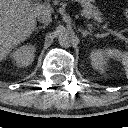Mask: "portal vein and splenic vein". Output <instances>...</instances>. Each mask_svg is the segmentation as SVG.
Returning <instances> with one entry per match:
<instances>
[{
    "instance_id": "18ae733b",
    "label": "portal vein and splenic vein",
    "mask_w": 128,
    "mask_h": 128,
    "mask_svg": "<svg viewBox=\"0 0 128 128\" xmlns=\"http://www.w3.org/2000/svg\"><path fill=\"white\" fill-rule=\"evenodd\" d=\"M31 2H38L39 0H30ZM116 35L121 39V40H124V41H128V38L124 37L122 34L120 33H116Z\"/></svg>"
}]
</instances>
